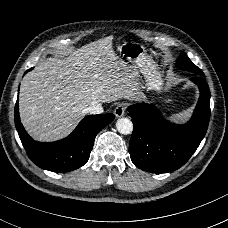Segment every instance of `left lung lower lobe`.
<instances>
[{
    "label": "left lung lower lobe",
    "instance_id": "1",
    "mask_svg": "<svg viewBox=\"0 0 228 228\" xmlns=\"http://www.w3.org/2000/svg\"><path fill=\"white\" fill-rule=\"evenodd\" d=\"M200 97L191 119L184 125L166 121L151 104L128 107L133 133L129 143L132 162L152 173L172 172L183 166L204 138L210 119V90L201 76L191 78Z\"/></svg>",
    "mask_w": 228,
    "mask_h": 228
}]
</instances>
